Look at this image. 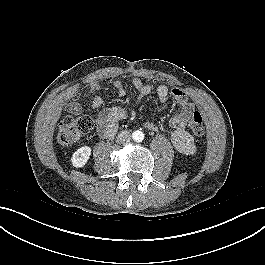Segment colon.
I'll return each mask as SVG.
<instances>
[{
    "mask_svg": "<svg viewBox=\"0 0 265 265\" xmlns=\"http://www.w3.org/2000/svg\"><path fill=\"white\" fill-rule=\"evenodd\" d=\"M189 127L195 136L201 137L205 133L204 117L200 111H194L189 120ZM93 128V119L87 115L78 117L65 116L58 124L57 140L66 146L76 143L84 134Z\"/></svg>",
    "mask_w": 265,
    "mask_h": 265,
    "instance_id": "1",
    "label": "colon"
}]
</instances>
